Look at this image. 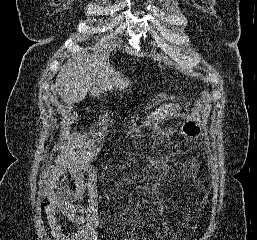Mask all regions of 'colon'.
<instances>
[{"mask_svg":"<svg viewBox=\"0 0 257 240\" xmlns=\"http://www.w3.org/2000/svg\"><path fill=\"white\" fill-rule=\"evenodd\" d=\"M208 102L207 94H203L197 102L194 110L190 114L188 120L181 126L180 135L183 140H192L197 138L201 132V120L206 110ZM170 155L164 156L162 163V171L165 172L168 168Z\"/></svg>","mask_w":257,"mask_h":240,"instance_id":"1","label":"colon"}]
</instances>
